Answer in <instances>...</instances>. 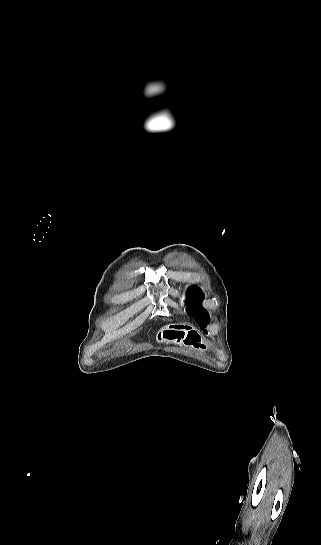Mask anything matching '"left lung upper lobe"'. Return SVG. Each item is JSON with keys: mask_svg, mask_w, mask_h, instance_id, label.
Wrapping results in <instances>:
<instances>
[{"mask_svg": "<svg viewBox=\"0 0 321 545\" xmlns=\"http://www.w3.org/2000/svg\"><path fill=\"white\" fill-rule=\"evenodd\" d=\"M187 298L188 314L194 317L197 324L204 332H206L205 326L209 323V315L200 304L204 298L201 289H199L197 286H191L187 292Z\"/></svg>", "mask_w": 321, "mask_h": 545, "instance_id": "obj_1", "label": "left lung upper lobe"}]
</instances>
